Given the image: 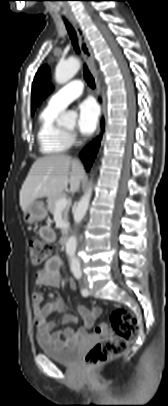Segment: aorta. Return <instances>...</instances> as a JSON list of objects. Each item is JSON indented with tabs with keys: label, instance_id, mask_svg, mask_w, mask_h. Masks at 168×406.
Segmentation results:
<instances>
[{
	"label": "aorta",
	"instance_id": "1",
	"mask_svg": "<svg viewBox=\"0 0 168 406\" xmlns=\"http://www.w3.org/2000/svg\"><path fill=\"white\" fill-rule=\"evenodd\" d=\"M80 68V61L77 58L71 57L66 61L59 63L55 70V80L58 84H65L78 72ZM77 113L74 111H68L60 117V123L63 125H68L75 122ZM92 195V184L87 190V192L81 197L76 210L74 212V221L79 224L83 219L89 207L90 199ZM77 248V238L75 236H70L66 243V254L70 259V267L73 270L80 269V263L77 259L75 253Z\"/></svg>",
	"mask_w": 168,
	"mask_h": 406
}]
</instances>
